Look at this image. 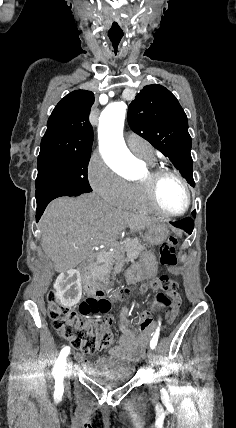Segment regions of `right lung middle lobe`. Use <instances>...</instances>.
Returning <instances> with one entry per match:
<instances>
[{
  "mask_svg": "<svg viewBox=\"0 0 236 428\" xmlns=\"http://www.w3.org/2000/svg\"><path fill=\"white\" fill-rule=\"evenodd\" d=\"M91 154H52L38 156L36 202L91 192L87 167Z\"/></svg>",
  "mask_w": 236,
  "mask_h": 428,
  "instance_id": "right-lung-middle-lobe-1",
  "label": "right lung middle lobe"
}]
</instances>
